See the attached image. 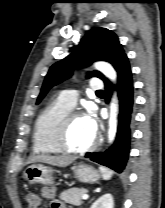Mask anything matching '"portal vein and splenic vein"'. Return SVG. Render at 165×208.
I'll list each match as a JSON object with an SVG mask.
<instances>
[{
    "label": "portal vein and splenic vein",
    "instance_id": "18ae733b",
    "mask_svg": "<svg viewBox=\"0 0 165 208\" xmlns=\"http://www.w3.org/2000/svg\"><path fill=\"white\" fill-rule=\"evenodd\" d=\"M88 197H89V196H88L87 194H84V195L82 196V199H83V200H86V199H88Z\"/></svg>",
    "mask_w": 165,
    "mask_h": 208
}]
</instances>
